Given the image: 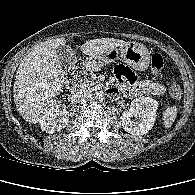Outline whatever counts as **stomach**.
<instances>
[{"label": "stomach", "instance_id": "1", "mask_svg": "<svg viewBox=\"0 0 195 195\" xmlns=\"http://www.w3.org/2000/svg\"><path fill=\"white\" fill-rule=\"evenodd\" d=\"M119 57H121L127 65L138 71L147 69L150 63V52L147 48L143 44L129 42L125 46L115 48L103 56L90 57V69L100 70L103 66L114 62Z\"/></svg>", "mask_w": 195, "mask_h": 195}]
</instances>
